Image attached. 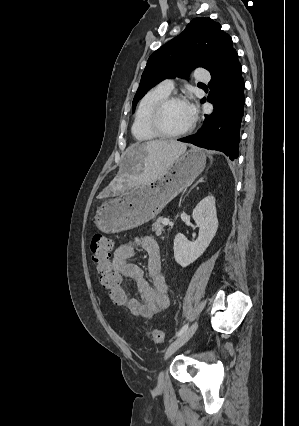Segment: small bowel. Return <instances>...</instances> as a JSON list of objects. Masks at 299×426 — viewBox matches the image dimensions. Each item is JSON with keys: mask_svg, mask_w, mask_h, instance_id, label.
<instances>
[{"mask_svg": "<svg viewBox=\"0 0 299 426\" xmlns=\"http://www.w3.org/2000/svg\"><path fill=\"white\" fill-rule=\"evenodd\" d=\"M136 245L141 246L147 253L149 281L145 279L142 268L130 261L135 255ZM111 265L121 277L133 282L140 294L141 299H136L126 289L123 305L131 314L149 319L169 306L168 285L162 273L160 247L153 237L143 236L134 242L118 244L113 251Z\"/></svg>", "mask_w": 299, "mask_h": 426, "instance_id": "obj_1", "label": "small bowel"}]
</instances>
